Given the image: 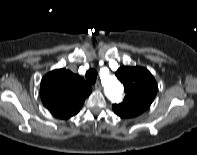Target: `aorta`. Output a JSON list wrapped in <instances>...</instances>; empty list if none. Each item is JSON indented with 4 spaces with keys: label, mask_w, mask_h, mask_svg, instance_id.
Here are the masks:
<instances>
[{
    "label": "aorta",
    "mask_w": 197,
    "mask_h": 155,
    "mask_svg": "<svg viewBox=\"0 0 197 155\" xmlns=\"http://www.w3.org/2000/svg\"><path fill=\"white\" fill-rule=\"evenodd\" d=\"M103 84L105 88V93L110 100L114 102H118L121 100L123 87L115 76H105L103 78Z\"/></svg>",
    "instance_id": "aorta-1"
}]
</instances>
